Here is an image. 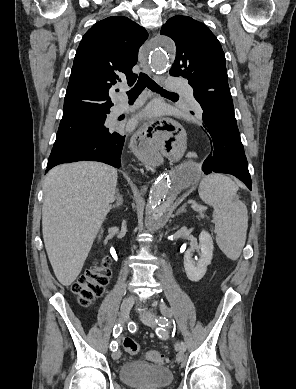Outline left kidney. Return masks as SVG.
Listing matches in <instances>:
<instances>
[{"label": "left kidney", "mask_w": 296, "mask_h": 389, "mask_svg": "<svg viewBox=\"0 0 296 389\" xmlns=\"http://www.w3.org/2000/svg\"><path fill=\"white\" fill-rule=\"evenodd\" d=\"M200 250L199 257L193 256V252ZM214 245L211 235L202 231L199 235V245L191 246L184 254V268L187 277L192 282H198L206 273L207 266L211 264Z\"/></svg>", "instance_id": "left-kidney-1"}]
</instances>
